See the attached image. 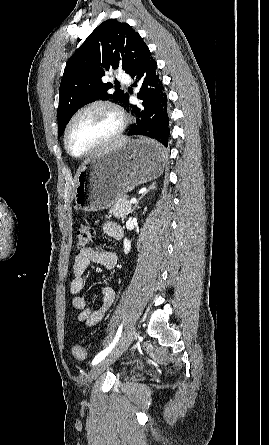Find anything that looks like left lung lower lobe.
Masks as SVG:
<instances>
[{"instance_id": "1", "label": "left lung lower lobe", "mask_w": 269, "mask_h": 445, "mask_svg": "<svg viewBox=\"0 0 269 445\" xmlns=\"http://www.w3.org/2000/svg\"><path fill=\"white\" fill-rule=\"evenodd\" d=\"M128 74L135 79V84L140 82L141 88L137 97L143 102L140 107L130 104L136 122L127 135L150 137L154 144L148 151L165 153L164 147H168L170 135L168 101L162 80L157 74V63L149 49L143 53L137 65ZM124 102L129 104L128 94Z\"/></svg>"}]
</instances>
